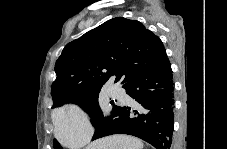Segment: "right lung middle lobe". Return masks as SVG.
Segmentation results:
<instances>
[{
    "instance_id": "dd1d6c3e",
    "label": "right lung middle lobe",
    "mask_w": 227,
    "mask_h": 149,
    "mask_svg": "<svg viewBox=\"0 0 227 149\" xmlns=\"http://www.w3.org/2000/svg\"><path fill=\"white\" fill-rule=\"evenodd\" d=\"M100 92V88L92 90L88 94L78 97V98H73V99H67L60 104L59 106L63 105L64 103L68 102H74L79 104L82 108H84L91 116L92 118V123L96 127H98L100 124L105 122L108 118H110L119 108L118 106L114 105L113 102L111 104L113 105V110H112V115L110 117L105 118L102 114V111L100 109L99 103H98V95ZM57 105V106H58ZM53 106V107H57ZM54 148L55 149H60V145L57 141L54 142Z\"/></svg>"
}]
</instances>
